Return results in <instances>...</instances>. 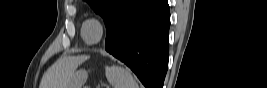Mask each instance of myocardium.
I'll list each match as a JSON object with an SVG mask.
<instances>
[{
  "mask_svg": "<svg viewBox=\"0 0 267 88\" xmlns=\"http://www.w3.org/2000/svg\"><path fill=\"white\" fill-rule=\"evenodd\" d=\"M90 23H94L98 29H99V36L97 37V39L93 40V41H89L86 37V27L88 24ZM104 25L103 23L97 19V18H90V19H87L83 25H82V38L83 40L89 44V45H95V44H98L102 39H103V36H104Z\"/></svg>",
  "mask_w": 267,
  "mask_h": 88,
  "instance_id": "f54148a6",
  "label": "myocardium"
}]
</instances>
